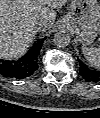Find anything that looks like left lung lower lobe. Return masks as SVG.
I'll return each instance as SVG.
<instances>
[{
  "label": "left lung lower lobe",
  "instance_id": "0a47b994",
  "mask_svg": "<svg viewBox=\"0 0 100 118\" xmlns=\"http://www.w3.org/2000/svg\"><path fill=\"white\" fill-rule=\"evenodd\" d=\"M80 74L88 82L100 81V70L90 69L83 63H80Z\"/></svg>",
  "mask_w": 100,
  "mask_h": 118
}]
</instances>
